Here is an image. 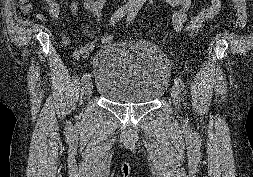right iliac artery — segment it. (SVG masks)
Wrapping results in <instances>:
<instances>
[{"label":"right iliac artery","instance_id":"1","mask_svg":"<svg viewBox=\"0 0 253 177\" xmlns=\"http://www.w3.org/2000/svg\"><path fill=\"white\" fill-rule=\"evenodd\" d=\"M133 9V6L131 4H126L122 7H120L118 10H116L110 20L111 26H114L117 21H119L122 17H124L127 13H129ZM91 74L85 73L82 76V83H86L90 80Z\"/></svg>","mask_w":253,"mask_h":177}]
</instances>
